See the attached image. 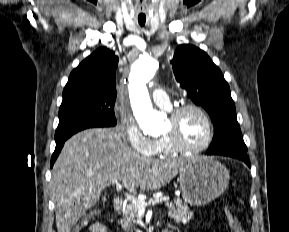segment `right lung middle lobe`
Returning <instances> with one entry per match:
<instances>
[{
	"label": "right lung middle lobe",
	"instance_id": "dd1d6c3e",
	"mask_svg": "<svg viewBox=\"0 0 289 232\" xmlns=\"http://www.w3.org/2000/svg\"><path fill=\"white\" fill-rule=\"evenodd\" d=\"M115 100L104 96H89L63 102L59 109L56 143L63 142L87 128L115 126Z\"/></svg>",
	"mask_w": 289,
	"mask_h": 232
}]
</instances>
